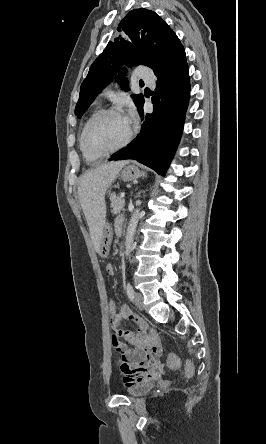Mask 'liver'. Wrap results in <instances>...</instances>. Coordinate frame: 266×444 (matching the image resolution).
Instances as JSON below:
<instances>
[{
    "mask_svg": "<svg viewBox=\"0 0 266 444\" xmlns=\"http://www.w3.org/2000/svg\"><path fill=\"white\" fill-rule=\"evenodd\" d=\"M128 160L110 162L87 171L80 179L78 199L96 252L100 251L106 219L105 193Z\"/></svg>",
    "mask_w": 266,
    "mask_h": 444,
    "instance_id": "1",
    "label": "liver"
}]
</instances>
